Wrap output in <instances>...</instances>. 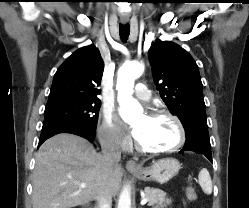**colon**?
I'll list each match as a JSON object with an SVG mask.
<instances>
[{
  "label": "colon",
  "instance_id": "1",
  "mask_svg": "<svg viewBox=\"0 0 249 208\" xmlns=\"http://www.w3.org/2000/svg\"><path fill=\"white\" fill-rule=\"evenodd\" d=\"M186 196L188 200L195 201L197 199V192L193 186H188L186 189Z\"/></svg>",
  "mask_w": 249,
  "mask_h": 208
}]
</instances>
